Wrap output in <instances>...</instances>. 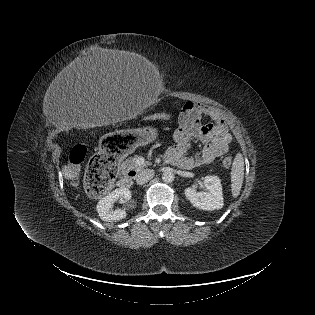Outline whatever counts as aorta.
Returning <instances> with one entry per match:
<instances>
[{
    "instance_id": "obj_1",
    "label": "aorta",
    "mask_w": 315,
    "mask_h": 315,
    "mask_svg": "<svg viewBox=\"0 0 315 315\" xmlns=\"http://www.w3.org/2000/svg\"><path fill=\"white\" fill-rule=\"evenodd\" d=\"M162 179L165 183H171L174 181V174L171 171H165L162 175Z\"/></svg>"
}]
</instances>
